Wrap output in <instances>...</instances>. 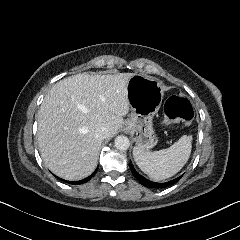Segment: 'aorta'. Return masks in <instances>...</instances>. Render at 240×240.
<instances>
[{"mask_svg": "<svg viewBox=\"0 0 240 240\" xmlns=\"http://www.w3.org/2000/svg\"><path fill=\"white\" fill-rule=\"evenodd\" d=\"M130 146L129 139L126 136L120 135L115 138V147L118 150H127Z\"/></svg>", "mask_w": 240, "mask_h": 240, "instance_id": "obj_1", "label": "aorta"}]
</instances>
